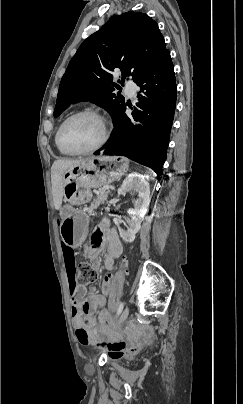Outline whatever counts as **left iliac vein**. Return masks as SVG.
<instances>
[{
  "instance_id": "left-iliac-vein-1",
  "label": "left iliac vein",
  "mask_w": 243,
  "mask_h": 404,
  "mask_svg": "<svg viewBox=\"0 0 243 404\" xmlns=\"http://www.w3.org/2000/svg\"><path fill=\"white\" fill-rule=\"evenodd\" d=\"M129 311H130L129 307H126L122 311V313L120 314V316L118 318L117 326H120L127 319L128 315H129Z\"/></svg>"
}]
</instances>
